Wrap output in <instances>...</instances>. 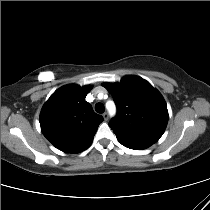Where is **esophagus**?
<instances>
[{
	"mask_svg": "<svg viewBox=\"0 0 210 210\" xmlns=\"http://www.w3.org/2000/svg\"><path fill=\"white\" fill-rule=\"evenodd\" d=\"M102 116H103V119L105 120V121H107L108 120V114L105 112V113H103L102 114Z\"/></svg>",
	"mask_w": 210,
	"mask_h": 210,
	"instance_id": "esophagus-1",
	"label": "esophagus"
}]
</instances>
